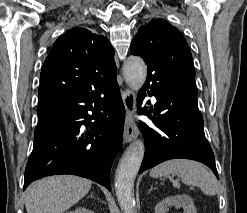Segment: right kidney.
<instances>
[{"mask_svg": "<svg viewBox=\"0 0 247 213\" xmlns=\"http://www.w3.org/2000/svg\"><path fill=\"white\" fill-rule=\"evenodd\" d=\"M66 213H94L92 210L85 208L84 206L77 207L75 210H71Z\"/></svg>", "mask_w": 247, "mask_h": 213, "instance_id": "1", "label": "right kidney"}]
</instances>
